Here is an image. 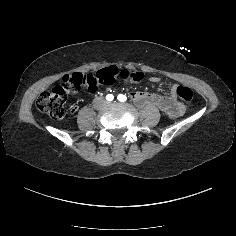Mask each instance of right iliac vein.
Segmentation results:
<instances>
[{
    "instance_id": "right-iliac-vein-1",
    "label": "right iliac vein",
    "mask_w": 236,
    "mask_h": 236,
    "mask_svg": "<svg viewBox=\"0 0 236 236\" xmlns=\"http://www.w3.org/2000/svg\"><path fill=\"white\" fill-rule=\"evenodd\" d=\"M100 103H101V105H100V106H104V104H105V101H104V100H101V101H100Z\"/></svg>"
}]
</instances>
